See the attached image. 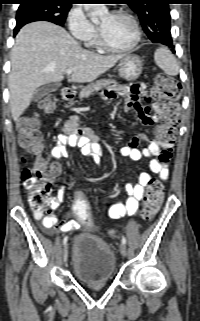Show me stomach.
I'll return each mask as SVG.
<instances>
[{"instance_id":"0dacf381","label":"stomach","mask_w":200,"mask_h":321,"mask_svg":"<svg viewBox=\"0 0 200 321\" xmlns=\"http://www.w3.org/2000/svg\"><path fill=\"white\" fill-rule=\"evenodd\" d=\"M143 68V59L137 55H124L118 64L119 76L126 80H135L139 77Z\"/></svg>"}]
</instances>
